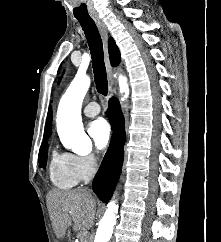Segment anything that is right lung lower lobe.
Listing matches in <instances>:
<instances>
[{"mask_svg": "<svg viewBox=\"0 0 221 242\" xmlns=\"http://www.w3.org/2000/svg\"><path fill=\"white\" fill-rule=\"evenodd\" d=\"M108 117L115 133L92 184L95 194L105 203L113 194L124 159V117L117 98L109 101Z\"/></svg>", "mask_w": 221, "mask_h": 242, "instance_id": "98d812e1", "label": "right lung lower lobe"}]
</instances>
